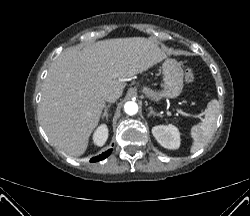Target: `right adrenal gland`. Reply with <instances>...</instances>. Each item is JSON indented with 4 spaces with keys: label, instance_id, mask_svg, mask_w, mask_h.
<instances>
[{
    "label": "right adrenal gland",
    "instance_id": "2a0ac1e0",
    "mask_svg": "<svg viewBox=\"0 0 250 216\" xmlns=\"http://www.w3.org/2000/svg\"><path fill=\"white\" fill-rule=\"evenodd\" d=\"M110 108V104L109 105H107L106 107H105V109H104V113L102 114V119H104V118H106V120H108V109Z\"/></svg>",
    "mask_w": 250,
    "mask_h": 216
}]
</instances>
